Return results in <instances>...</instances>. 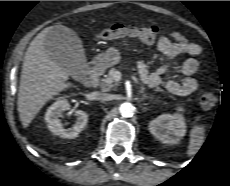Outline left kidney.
Segmentation results:
<instances>
[{"mask_svg":"<svg viewBox=\"0 0 230 186\" xmlns=\"http://www.w3.org/2000/svg\"><path fill=\"white\" fill-rule=\"evenodd\" d=\"M182 111V108H178ZM149 131L165 144H177L186 133V122L182 114H162L149 123Z\"/></svg>","mask_w":230,"mask_h":186,"instance_id":"1","label":"left kidney"}]
</instances>
